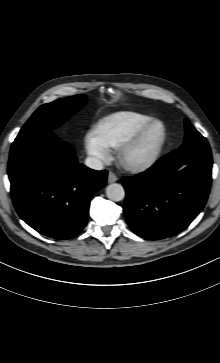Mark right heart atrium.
Listing matches in <instances>:
<instances>
[{
	"instance_id": "d8ad5b80",
	"label": "right heart atrium",
	"mask_w": 220,
	"mask_h": 363,
	"mask_svg": "<svg viewBox=\"0 0 220 363\" xmlns=\"http://www.w3.org/2000/svg\"><path fill=\"white\" fill-rule=\"evenodd\" d=\"M86 153L94 164L102 165L111 158V152L107 144L99 137L96 130L87 132L84 138Z\"/></svg>"
}]
</instances>
